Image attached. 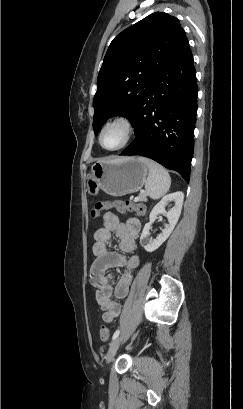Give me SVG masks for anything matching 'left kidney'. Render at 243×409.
<instances>
[{"mask_svg":"<svg viewBox=\"0 0 243 409\" xmlns=\"http://www.w3.org/2000/svg\"><path fill=\"white\" fill-rule=\"evenodd\" d=\"M183 200L184 194L182 192H175L164 196L161 201L154 206L149 216V223L145 224L140 237V244L147 252H153L158 249L170 236L180 217ZM171 201H174V206L166 211L165 206ZM159 214H163L168 218V224L165 225L162 232L155 239H150L151 225Z\"/></svg>","mask_w":243,"mask_h":409,"instance_id":"1","label":"left kidney"}]
</instances>
